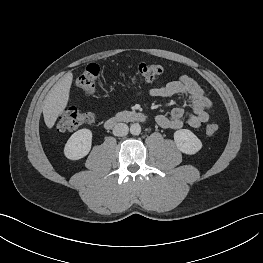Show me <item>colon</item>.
<instances>
[{"label":"colon","mask_w":263,"mask_h":263,"mask_svg":"<svg viewBox=\"0 0 263 263\" xmlns=\"http://www.w3.org/2000/svg\"><path fill=\"white\" fill-rule=\"evenodd\" d=\"M101 68L96 64L88 65L82 74L77 78V86L88 94H94L96 84L101 75ZM162 73V67L159 64L144 62L140 63L132 77L133 82L144 84L153 81ZM96 120V115L92 112L82 111L77 108H69L64 110L58 117L57 128L60 131H73L80 126L93 123ZM219 125L211 123L206 128L208 135H214L218 132Z\"/></svg>","instance_id":"colon-1"}]
</instances>
